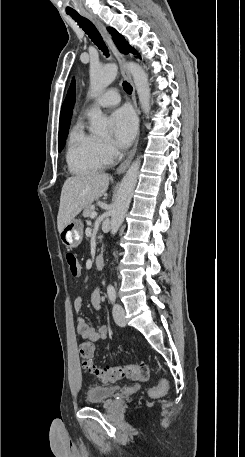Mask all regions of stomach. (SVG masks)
I'll return each instance as SVG.
<instances>
[{"mask_svg": "<svg viewBox=\"0 0 245 457\" xmlns=\"http://www.w3.org/2000/svg\"><path fill=\"white\" fill-rule=\"evenodd\" d=\"M60 239L66 249H76L83 239V222L79 218H72L62 229Z\"/></svg>", "mask_w": 245, "mask_h": 457, "instance_id": "1", "label": "stomach"}]
</instances>
